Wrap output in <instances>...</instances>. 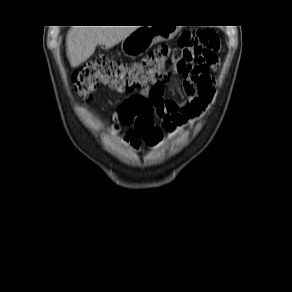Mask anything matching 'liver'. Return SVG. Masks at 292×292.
I'll return each instance as SVG.
<instances>
[{
    "instance_id": "1",
    "label": "liver",
    "mask_w": 292,
    "mask_h": 292,
    "mask_svg": "<svg viewBox=\"0 0 292 292\" xmlns=\"http://www.w3.org/2000/svg\"><path fill=\"white\" fill-rule=\"evenodd\" d=\"M136 29L135 26H74L66 38L71 66L77 67L90 58L98 44L111 48Z\"/></svg>"
}]
</instances>
